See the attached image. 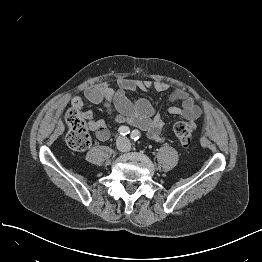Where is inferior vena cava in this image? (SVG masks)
<instances>
[{"instance_id": "1", "label": "inferior vena cava", "mask_w": 262, "mask_h": 262, "mask_svg": "<svg viewBox=\"0 0 262 262\" xmlns=\"http://www.w3.org/2000/svg\"><path fill=\"white\" fill-rule=\"evenodd\" d=\"M117 147L121 151H127L130 148V141L125 137H121L117 142Z\"/></svg>"}]
</instances>
